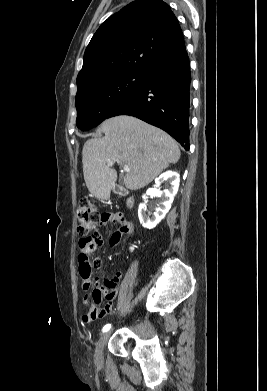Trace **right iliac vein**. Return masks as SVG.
<instances>
[{
    "mask_svg": "<svg viewBox=\"0 0 267 391\" xmlns=\"http://www.w3.org/2000/svg\"><path fill=\"white\" fill-rule=\"evenodd\" d=\"M111 335V331H106L101 335L99 338L97 344H96V349H95V362L97 364H101L103 362V350L104 347L108 341L109 336Z\"/></svg>",
    "mask_w": 267,
    "mask_h": 391,
    "instance_id": "obj_1",
    "label": "right iliac vein"
}]
</instances>
